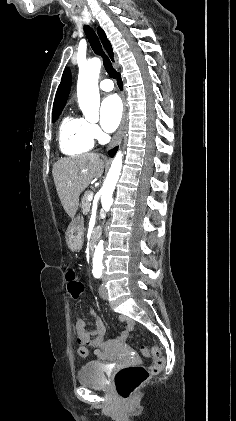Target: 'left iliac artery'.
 I'll return each instance as SVG.
<instances>
[{
  "label": "left iliac artery",
  "instance_id": "1",
  "mask_svg": "<svg viewBox=\"0 0 236 421\" xmlns=\"http://www.w3.org/2000/svg\"><path fill=\"white\" fill-rule=\"evenodd\" d=\"M102 274H94L96 278H99Z\"/></svg>",
  "mask_w": 236,
  "mask_h": 421
}]
</instances>
